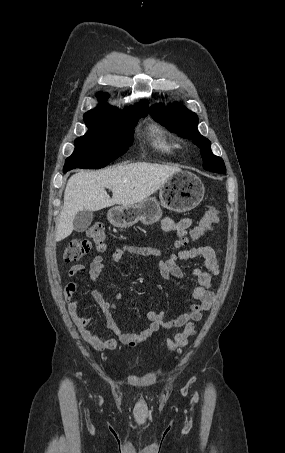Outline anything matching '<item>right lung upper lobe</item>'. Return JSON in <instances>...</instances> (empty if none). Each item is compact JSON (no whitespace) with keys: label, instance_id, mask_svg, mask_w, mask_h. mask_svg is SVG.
Listing matches in <instances>:
<instances>
[{"label":"right lung upper lobe","instance_id":"1","mask_svg":"<svg viewBox=\"0 0 285 453\" xmlns=\"http://www.w3.org/2000/svg\"><path fill=\"white\" fill-rule=\"evenodd\" d=\"M108 97V95L104 93H98V98L102 102L99 106H97L95 109L90 110L92 112H103V113H112V114H122V112L113 106H109L103 103V101ZM149 107H148V101L147 100H141L140 103L135 104V106L130 107V111L128 114L131 113H136V112H148Z\"/></svg>","mask_w":285,"mask_h":453}]
</instances>
